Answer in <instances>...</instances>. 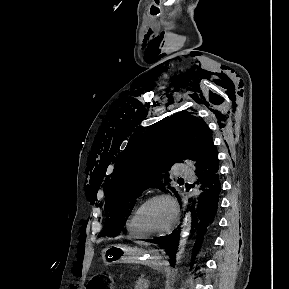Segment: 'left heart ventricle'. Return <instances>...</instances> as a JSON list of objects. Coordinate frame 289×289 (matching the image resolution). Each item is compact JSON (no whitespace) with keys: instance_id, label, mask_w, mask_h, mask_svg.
<instances>
[{"instance_id":"b2bd125f","label":"left heart ventricle","mask_w":289,"mask_h":289,"mask_svg":"<svg viewBox=\"0 0 289 289\" xmlns=\"http://www.w3.org/2000/svg\"><path fill=\"white\" fill-rule=\"evenodd\" d=\"M173 219V210L166 200L150 202L140 214V225L146 231H161L167 228Z\"/></svg>"}]
</instances>
